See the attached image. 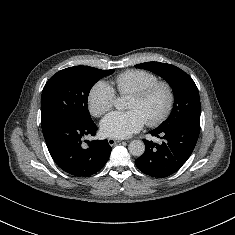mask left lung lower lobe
I'll use <instances>...</instances> for the list:
<instances>
[{
	"mask_svg": "<svg viewBox=\"0 0 235 235\" xmlns=\"http://www.w3.org/2000/svg\"><path fill=\"white\" fill-rule=\"evenodd\" d=\"M199 132L200 126L191 123L150 131L153 136L163 139V142L156 144L144 140L146 150L135 160L136 166L153 177L163 178L175 173L193 152Z\"/></svg>",
	"mask_w": 235,
	"mask_h": 235,
	"instance_id": "left-lung-lower-lobe-1",
	"label": "left lung lower lobe"
}]
</instances>
